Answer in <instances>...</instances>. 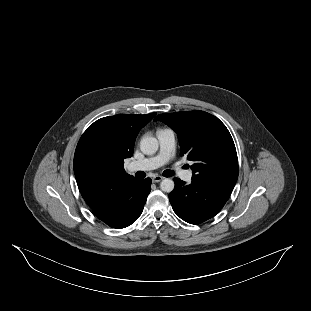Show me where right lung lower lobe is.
Returning a JSON list of instances; mask_svg holds the SVG:
<instances>
[{
  "instance_id": "right-lung-lower-lobe-1",
  "label": "right lung lower lobe",
  "mask_w": 311,
  "mask_h": 311,
  "mask_svg": "<svg viewBox=\"0 0 311 311\" xmlns=\"http://www.w3.org/2000/svg\"><path fill=\"white\" fill-rule=\"evenodd\" d=\"M151 190V179H135L117 192L100 200L92 209L95 216L112 228H125L135 222L143 211Z\"/></svg>"
}]
</instances>
